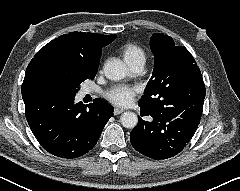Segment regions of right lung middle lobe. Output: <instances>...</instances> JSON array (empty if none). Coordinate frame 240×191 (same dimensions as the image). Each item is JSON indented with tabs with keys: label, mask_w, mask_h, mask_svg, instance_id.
<instances>
[{
	"label": "right lung middle lobe",
	"mask_w": 240,
	"mask_h": 191,
	"mask_svg": "<svg viewBox=\"0 0 240 191\" xmlns=\"http://www.w3.org/2000/svg\"><path fill=\"white\" fill-rule=\"evenodd\" d=\"M96 73L56 68L48 69L37 77L32 92L72 99L80 90V84L86 79H93Z\"/></svg>",
	"instance_id": "1"
}]
</instances>
